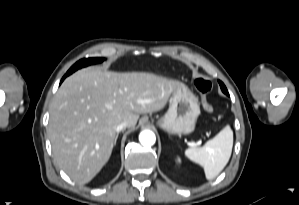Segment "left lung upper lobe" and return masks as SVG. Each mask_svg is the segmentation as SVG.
<instances>
[{"label": "left lung upper lobe", "instance_id": "1", "mask_svg": "<svg viewBox=\"0 0 299 205\" xmlns=\"http://www.w3.org/2000/svg\"><path fill=\"white\" fill-rule=\"evenodd\" d=\"M219 84H220V87H221V89L224 93L228 92L225 85L221 81H219Z\"/></svg>", "mask_w": 299, "mask_h": 205}]
</instances>
